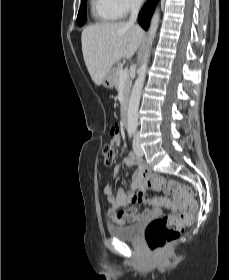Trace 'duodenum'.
Instances as JSON below:
<instances>
[{
	"instance_id": "obj_1",
	"label": "duodenum",
	"mask_w": 229,
	"mask_h": 280,
	"mask_svg": "<svg viewBox=\"0 0 229 280\" xmlns=\"http://www.w3.org/2000/svg\"><path fill=\"white\" fill-rule=\"evenodd\" d=\"M121 124L125 127L128 124V101L126 100L121 113Z\"/></svg>"
}]
</instances>
